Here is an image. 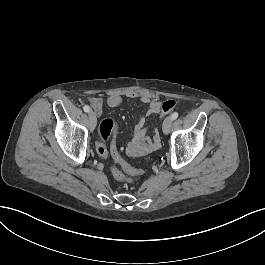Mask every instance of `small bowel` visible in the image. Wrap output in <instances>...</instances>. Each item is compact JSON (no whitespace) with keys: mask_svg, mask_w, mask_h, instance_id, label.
I'll return each instance as SVG.
<instances>
[{"mask_svg":"<svg viewBox=\"0 0 265 265\" xmlns=\"http://www.w3.org/2000/svg\"><path fill=\"white\" fill-rule=\"evenodd\" d=\"M129 98L139 97L140 101L146 105V109L138 118L136 124L137 135L132 139L127 147V153L130 156H144L157 150L160 146V138L157 134H154L150 139L144 130L146 119L150 116L158 114L161 108V102L152 98L149 94L137 95L135 93L128 94ZM123 101V97L118 92H112L107 98V105L109 107H117ZM92 106L97 110H101V100L99 98H92L90 100Z\"/></svg>","mask_w":265,"mask_h":265,"instance_id":"obj_1","label":"small bowel"}]
</instances>
